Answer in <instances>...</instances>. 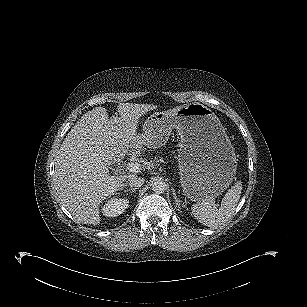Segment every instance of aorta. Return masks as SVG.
<instances>
[{"mask_svg": "<svg viewBox=\"0 0 307 307\" xmlns=\"http://www.w3.org/2000/svg\"><path fill=\"white\" fill-rule=\"evenodd\" d=\"M167 189V185L164 181L162 180H155L152 183V190L156 193V194H162L166 191Z\"/></svg>", "mask_w": 307, "mask_h": 307, "instance_id": "762f6f07", "label": "aorta"}]
</instances>
